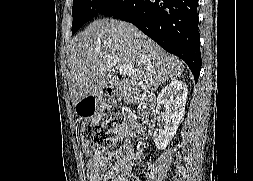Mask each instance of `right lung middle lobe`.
Segmentation results:
<instances>
[{"label": "right lung middle lobe", "instance_id": "obj_1", "mask_svg": "<svg viewBox=\"0 0 253 181\" xmlns=\"http://www.w3.org/2000/svg\"><path fill=\"white\" fill-rule=\"evenodd\" d=\"M129 0H73L72 34L98 14L111 16L128 4Z\"/></svg>", "mask_w": 253, "mask_h": 181}]
</instances>
